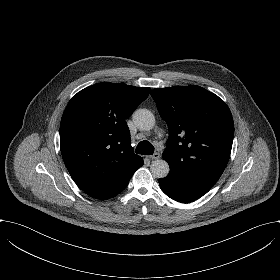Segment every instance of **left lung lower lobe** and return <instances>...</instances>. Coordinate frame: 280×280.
I'll return each mask as SVG.
<instances>
[{"label":"left lung lower lobe","instance_id":"left-lung-lower-lobe-1","mask_svg":"<svg viewBox=\"0 0 280 280\" xmlns=\"http://www.w3.org/2000/svg\"><path fill=\"white\" fill-rule=\"evenodd\" d=\"M159 185L162 191L170 198L182 203H188L206 194L214 183L199 180L182 182L168 174L165 178L159 179Z\"/></svg>","mask_w":280,"mask_h":280}]
</instances>
